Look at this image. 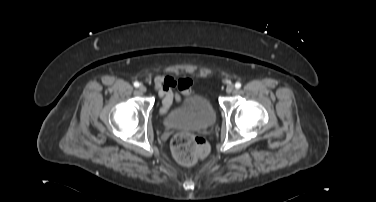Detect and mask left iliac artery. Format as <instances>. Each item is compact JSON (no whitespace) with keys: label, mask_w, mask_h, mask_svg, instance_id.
Listing matches in <instances>:
<instances>
[{"label":"left iliac artery","mask_w":376,"mask_h":202,"mask_svg":"<svg viewBox=\"0 0 376 202\" xmlns=\"http://www.w3.org/2000/svg\"><path fill=\"white\" fill-rule=\"evenodd\" d=\"M240 87H241V83H240V82H237V83L235 84V88L239 89Z\"/></svg>","instance_id":"obj_1"}]
</instances>
